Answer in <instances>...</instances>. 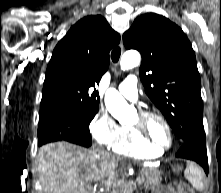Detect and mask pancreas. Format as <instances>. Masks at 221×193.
<instances>
[{
	"label": "pancreas",
	"instance_id": "pancreas-1",
	"mask_svg": "<svg viewBox=\"0 0 221 193\" xmlns=\"http://www.w3.org/2000/svg\"><path fill=\"white\" fill-rule=\"evenodd\" d=\"M161 171L156 167H145L140 171V177H143L144 188L154 189L161 182Z\"/></svg>",
	"mask_w": 221,
	"mask_h": 193
}]
</instances>
